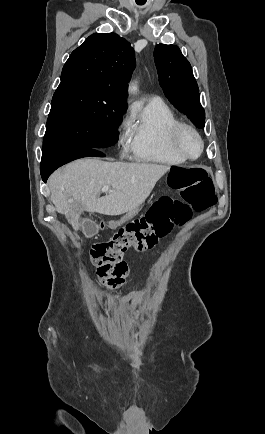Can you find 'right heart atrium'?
Masks as SVG:
<instances>
[{
  "instance_id": "obj_1",
  "label": "right heart atrium",
  "mask_w": 265,
  "mask_h": 434,
  "mask_svg": "<svg viewBox=\"0 0 265 434\" xmlns=\"http://www.w3.org/2000/svg\"><path fill=\"white\" fill-rule=\"evenodd\" d=\"M119 127H117V143L120 145L118 151L120 154H127L129 151L128 146V132L129 127L127 126L128 121L126 118H119L117 121Z\"/></svg>"
}]
</instances>
